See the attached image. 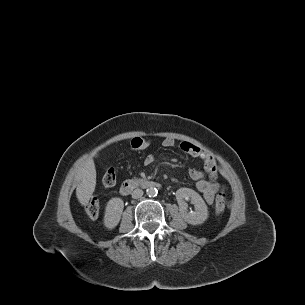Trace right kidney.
<instances>
[{"label": "right kidney", "mask_w": 305, "mask_h": 305, "mask_svg": "<svg viewBox=\"0 0 305 305\" xmlns=\"http://www.w3.org/2000/svg\"><path fill=\"white\" fill-rule=\"evenodd\" d=\"M124 208V202L121 198L115 197L108 201L105 208L104 225L108 229H114L120 219Z\"/></svg>", "instance_id": "ca27d5eb"}]
</instances>
